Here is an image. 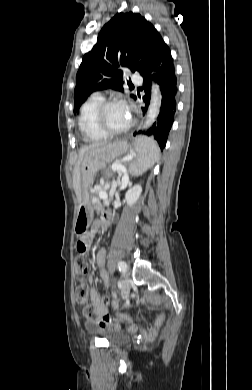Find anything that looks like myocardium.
<instances>
[{
    "instance_id": "f54148a6",
    "label": "myocardium",
    "mask_w": 252,
    "mask_h": 390,
    "mask_svg": "<svg viewBox=\"0 0 252 390\" xmlns=\"http://www.w3.org/2000/svg\"><path fill=\"white\" fill-rule=\"evenodd\" d=\"M114 104H125L130 108L129 104L122 99H108V100H104L98 106L96 113H95V122H96L98 129L103 134H105L107 136H119V135L125 134L133 127V125L135 123V120L132 117L128 126H126L125 128H123L121 130H113V129L109 128L107 123H106V120H105V114H106L107 109Z\"/></svg>"
}]
</instances>
